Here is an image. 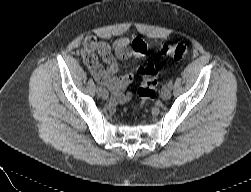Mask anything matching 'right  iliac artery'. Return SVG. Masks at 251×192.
I'll return each instance as SVG.
<instances>
[{"mask_svg":"<svg viewBox=\"0 0 251 192\" xmlns=\"http://www.w3.org/2000/svg\"><path fill=\"white\" fill-rule=\"evenodd\" d=\"M102 91V87L101 86H97V93L99 94Z\"/></svg>","mask_w":251,"mask_h":192,"instance_id":"82829eb1","label":"right iliac artery"}]
</instances>
